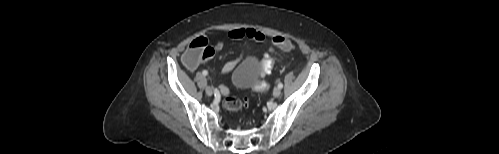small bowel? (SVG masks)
Segmentation results:
<instances>
[{
  "label": "small bowel",
  "mask_w": 499,
  "mask_h": 154,
  "mask_svg": "<svg viewBox=\"0 0 499 154\" xmlns=\"http://www.w3.org/2000/svg\"><path fill=\"white\" fill-rule=\"evenodd\" d=\"M227 36L230 38V39H233V40H237V39H241V38H244V37H247V38H250V39H253L257 42H262L264 39H265V36L263 33H261L260 31L256 30V29H253V28H239V29H234V30H231L230 32H228ZM224 46L225 44L223 42H217L215 45H214V49L216 51H221L224 49ZM268 51L269 53L271 54H274L275 53V49L273 47H268ZM245 56V53H242L237 59L233 60V61H229L227 62L222 70H221V73L222 74H226L230 71H232L239 63L240 61L243 59V57ZM191 69H195V67H190ZM220 90L223 94L227 95L229 93V90L226 86L224 85H221L220 86Z\"/></svg>",
  "instance_id": "1"
}]
</instances>
